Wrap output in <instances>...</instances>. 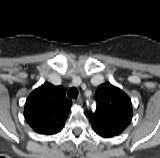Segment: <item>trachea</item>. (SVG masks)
Wrapping results in <instances>:
<instances>
[{
    "label": "trachea",
    "instance_id": "3493384b",
    "mask_svg": "<svg viewBox=\"0 0 160 158\" xmlns=\"http://www.w3.org/2000/svg\"><path fill=\"white\" fill-rule=\"evenodd\" d=\"M68 97L77 98L78 97V90L75 87H72L68 91Z\"/></svg>",
    "mask_w": 160,
    "mask_h": 158
}]
</instances>
